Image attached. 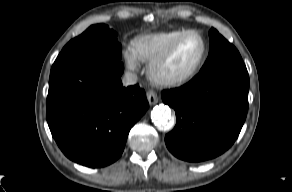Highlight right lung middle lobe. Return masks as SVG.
Instances as JSON below:
<instances>
[{
  "mask_svg": "<svg viewBox=\"0 0 292 192\" xmlns=\"http://www.w3.org/2000/svg\"><path fill=\"white\" fill-rule=\"evenodd\" d=\"M104 51L121 58V45L117 41V34L107 25L90 26L80 36L68 42L61 53Z\"/></svg>",
  "mask_w": 292,
  "mask_h": 192,
  "instance_id": "obj_1",
  "label": "right lung middle lobe"
}]
</instances>
